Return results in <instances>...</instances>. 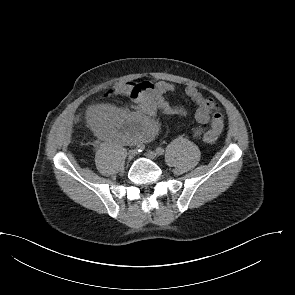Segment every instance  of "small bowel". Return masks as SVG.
Masks as SVG:
<instances>
[{"label":"small bowel","instance_id":"1","mask_svg":"<svg viewBox=\"0 0 295 295\" xmlns=\"http://www.w3.org/2000/svg\"><path fill=\"white\" fill-rule=\"evenodd\" d=\"M175 86L166 81L126 82L114 88L115 94L126 95L135 103V111L120 110L111 105L100 104L87 112L90 125L104 138L120 143L143 142L152 139L158 125L154 120L157 111L166 114L185 115L181 106L169 104L165 96L173 93ZM185 94L196 104L195 120L198 123L195 135L212 133L220 135L224 122L212 97L204 96L196 87L187 86ZM209 128L206 130V125Z\"/></svg>","mask_w":295,"mask_h":295}]
</instances>
